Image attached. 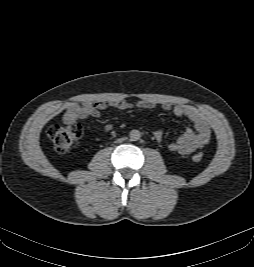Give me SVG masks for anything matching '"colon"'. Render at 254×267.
Instances as JSON below:
<instances>
[{"label":"colon","mask_w":254,"mask_h":267,"mask_svg":"<svg viewBox=\"0 0 254 267\" xmlns=\"http://www.w3.org/2000/svg\"><path fill=\"white\" fill-rule=\"evenodd\" d=\"M48 136L51 139L55 150L58 153H66L73 144L82 136V127L79 124L59 125L55 124L49 127ZM203 154L195 153L192 156L193 162H201Z\"/></svg>","instance_id":"colon-1"}]
</instances>
